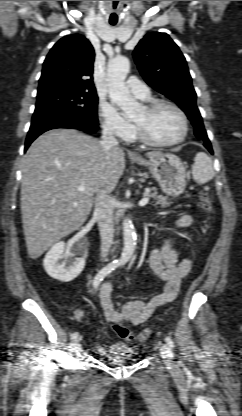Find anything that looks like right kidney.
I'll use <instances>...</instances> for the list:
<instances>
[{"mask_svg": "<svg viewBox=\"0 0 242 416\" xmlns=\"http://www.w3.org/2000/svg\"><path fill=\"white\" fill-rule=\"evenodd\" d=\"M65 246L66 244L63 241L54 244L46 254L43 266L50 277L62 282H69L82 272L85 266V258H74L76 246H72V251L65 255Z\"/></svg>", "mask_w": 242, "mask_h": 416, "instance_id": "right-kidney-1", "label": "right kidney"}]
</instances>
